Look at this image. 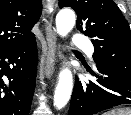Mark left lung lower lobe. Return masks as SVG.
Here are the masks:
<instances>
[{
    "instance_id": "left-lung-lower-lobe-1",
    "label": "left lung lower lobe",
    "mask_w": 131,
    "mask_h": 115,
    "mask_svg": "<svg viewBox=\"0 0 131 115\" xmlns=\"http://www.w3.org/2000/svg\"><path fill=\"white\" fill-rule=\"evenodd\" d=\"M96 81L75 80L68 115H95L121 104H131V75L96 63Z\"/></svg>"
}]
</instances>
